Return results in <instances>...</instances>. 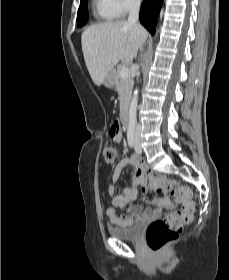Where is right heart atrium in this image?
<instances>
[{
	"label": "right heart atrium",
	"instance_id": "obj_1",
	"mask_svg": "<svg viewBox=\"0 0 229 280\" xmlns=\"http://www.w3.org/2000/svg\"><path fill=\"white\" fill-rule=\"evenodd\" d=\"M105 5L117 18L126 16L129 12L137 9L141 0H103Z\"/></svg>",
	"mask_w": 229,
	"mask_h": 280
}]
</instances>
